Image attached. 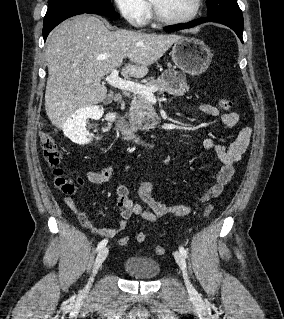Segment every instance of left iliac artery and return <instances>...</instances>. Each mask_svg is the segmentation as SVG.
I'll return each instance as SVG.
<instances>
[{
  "label": "left iliac artery",
  "instance_id": "1",
  "mask_svg": "<svg viewBox=\"0 0 284 319\" xmlns=\"http://www.w3.org/2000/svg\"><path fill=\"white\" fill-rule=\"evenodd\" d=\"M179 251L185 258H187V251L183 246L179 247Z\"/></svg>",
  "mask_w": 284,
  "mask_h": 319
}]
</instances>
